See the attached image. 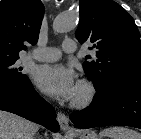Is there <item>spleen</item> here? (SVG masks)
Segmentation results:
<instances>
[{"instance_id": "3e777b00", "label": "spleen", "mask_w": 141, "mask_h": 139, "mask_svg": "<svg viewBox=\"0 0 141 139\" xmlns=\"http://www.w3.org/2000/svg\"><path fill=\"white\" fill-rule=\"evenodd\" d=\"M101 137L110 139H141V134L124 127H110L100 133Z\"/></svg>"}]
</instances>
